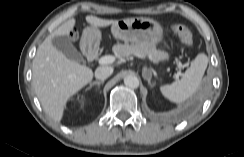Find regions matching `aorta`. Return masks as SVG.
Here are the masks:
<instances>
[{
	"label": "aorta",
	"instance_id": "1",
	"mask_svg": "<svg viewBox=\"0 0 244 157\" xmlns=\"http://www.w3.org/2000/svg\"><path fill=\"white\" fill-rule=\"evenodd\" d=\"M124 84L129 88H138L139 79L135 75H128L124 78Z\"/></svg>",
	"mask_w": 244,
	"mask_h": 157
}]
</instances>
